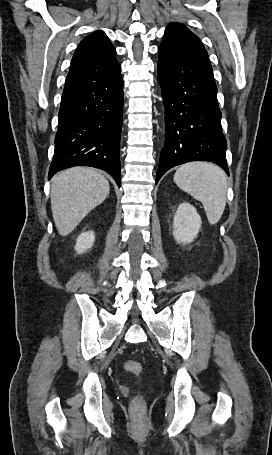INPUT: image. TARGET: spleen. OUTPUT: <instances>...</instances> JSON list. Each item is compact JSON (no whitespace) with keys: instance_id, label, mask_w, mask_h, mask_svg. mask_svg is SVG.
<instances>
[{"instance_id":"obj_1","label":"spleen","mask_w":272,"mask_h":455,"mask_svg":"<svg viewBox=\"0 0 272 455\" xmlns=\"http://www.w3.org/2000/svg\"><path fill=\"white\" fill-rule=\"evenodd\" d=\"M176 185L202 202L210 224H216L226 206L227 179L218 166L191 162L180 166L175 175Z\"/></svg>"}]
</instances>
